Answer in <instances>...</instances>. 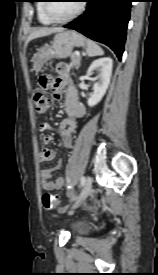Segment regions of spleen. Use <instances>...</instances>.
Returning <instances> with one entry per match:
<instances>
[{"mask_svg":"<svg viewBox=\"0 0 158 275\" xmlns=\"http://www.w3.org/2000/svg\"><path fill=\"white\" fill-rule=\"evenodd\" d=\"M86 51L88 56L90 57L100 56L104 54L102 48L90 39L86 40Z\"/></svg>","mask_w":158,"mask_h":275,"instance_id":"3e777b00","label":"spleen"}]
</instances>
